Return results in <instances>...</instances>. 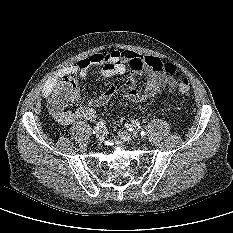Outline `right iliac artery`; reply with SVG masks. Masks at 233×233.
I'll list each match as a JSON object with an SVG mask.
<instances>
[{
	"label": "right iliac artery",
	"instance_id": "obj_1",
	"mask_svg": "<svg viewBox=\"0 0 233 233\" xmlns=\"http://www.w3.org/2000/svg\"><path fill=\"white\" fill-rule=\"evenodd\" d=\"M104 127H105V122L104 121L98 122V124L94 128L93 134H97L99 132V130H101Z\"/></svg>",
	"mask_w": 233,
	"mask_h": 233
}]
</instances>
